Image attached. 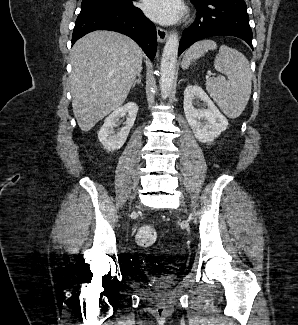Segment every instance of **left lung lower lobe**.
I'll return each instance as SVG.
<instances>
[{
	"label": "left lung lower lobe",
	"mask_w": 298,
	"mask_h": 325,
	"mask_svg": "<svg viewBox=\"0 0 298 325\" xmlns=\"http://www.w3.org/2000/svg\"><path fill=\"white\" fill-rule=\"evenodd\" d=\"M197 17L192 26L184 30L178 54L190 45L212 36H235L252 46V30L244 0H202L192 2Z\"/></svg>",
	"instance_id": "obj_1"
}]
</instances>
